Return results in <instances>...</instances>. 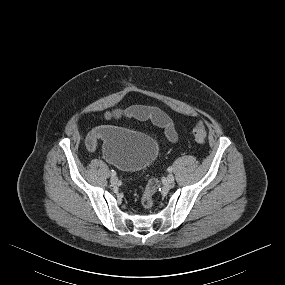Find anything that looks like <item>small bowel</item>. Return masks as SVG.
<instances>
[{"label":"small bowel","instance_id":"1","mask_svg":"<svg viewBox=\"0 0 285 285\" xmlns=\"http://www.w3.org/2000/svg\"><path fill=\"white\" fill-rule=\"evenodd\" d=\"M104 118L111 121H119L125 118L150 121L164 130L165 136L170 142L175 143L178 140V135L171 118L164 111L155 106L134 105L127 109H115L106 112ZM104 128V126H98L87 135L85 145L89 151L96 150L98 141L103 137Z\"/></svg>","mask_w":285,"mask_h":285}]
</instances>
